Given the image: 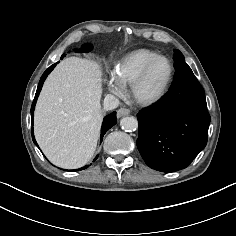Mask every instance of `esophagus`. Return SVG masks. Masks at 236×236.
Listing matches in <instances>:
<instances>
[{"label":"esophagus","instance_id":"1","mask_svg":"<svg viewBox=\"0 0 236 236\" xmlns=\"http://www.w3.org/2000/svg\"><path fill=\"white\" fill-rule=\"evenodd\" d=\"M130 114V110L127 108H120L117 110V117L120 118L122 116Z\"/></svg>","mask_w":236,"mask_h":236}]
</instances>
